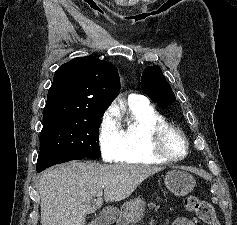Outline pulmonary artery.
<instances>
[{"instance_id":"obj_1","label":"pulmonary artery","mask_w":237,"mask_h":225,"mask_svg":"<svg viewBox=\"0 0 237 225\" xmlns=\"http://www.w3.org/2000/svg\"><path fill=\"white\" fill-rule=\"evenodd\" d=\"M141 99H144L141 95L132 93L128 97V102H129V104H132V103H135Z\"/></svg>"}]
</instances>
